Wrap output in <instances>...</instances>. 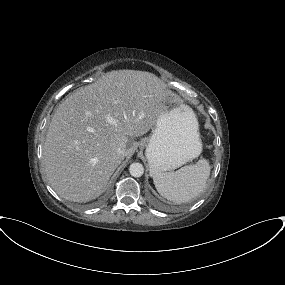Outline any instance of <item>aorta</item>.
<instances>
[{
	"mask_svg": "<svg viewBox=\"0 0 285 285\" xmlns=\"http://www.w3.org/2000/svg\"><path fill=\"white\" fill-rule=\"evenodd\" d=\"M129 172L133 177H141L144 174V167L141 163H132L129 167Z\"/></svg>",
	"mask_w": 285,
	"mask_h": 285,
	"instance_id": "obj_1",
	"label": "aorta"
}]
</instances>
